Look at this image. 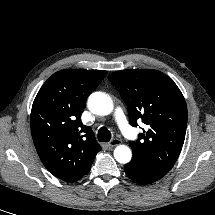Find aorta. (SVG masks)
<instances>
[{"mask_svg":"<svg viewBox=\"0 0 215 215\" xmlns=\"http://www.w3.org/2000/svg\"><path fill=\"white\" fill-rule=\"evenodd\" d=\"M88 105L97 115H108L113 110L111 99L102 92H94L89 96ZM131 150L125 145H119L114 150V157L119 163H128L131 160Z\"/></svg>","mask_w":215,"mask_h":215,"instance_id":"obj_1","label":"aorta"}]
</instances>
